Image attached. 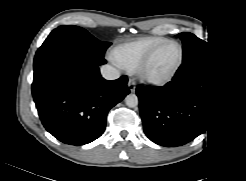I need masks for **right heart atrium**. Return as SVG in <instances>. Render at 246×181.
<instances>
[{"label": "right heart atrium", "mask_w": 246, "mask_h": 181, "mask_svg": "<svg viewBox=\"0 0 246 181\" xmlns=\"http://www.w3.org/2000/svg\"><path fill=\"white\" fill-rule=\"evenodd\" d=\"M110 59H111V61H112L115 65H118V66L122 65L121 62H120L119 59L115 56L114 53L111 54ZM122 66H123V65H122Z\"/></svg>", "instance_id": "1"}]
</instances>
